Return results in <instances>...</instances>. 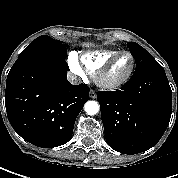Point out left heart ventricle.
I'll list each match as a JSON object with an SVG mask.
<instances>
[{
	"label": "left heart ventricle",
	"mask_w": 178,
	"mask_h": 178,
	"mask_svg": "<svg viewBox=\"0 0 178 178\" xmlns=\"http://www.w3.org/2000/svg\"><path fill=\"white\" fill-rule=\"evenodd\" d=\"M132 66V59L129 55L124 54L119 57L111 68L105 74V80L109 82L117 81L123 78Z\"/></svg>",
	"instance_id": "b2bd125f"
}]
</instances>
